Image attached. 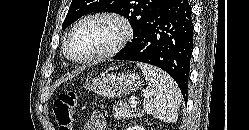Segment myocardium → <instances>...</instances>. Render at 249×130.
Returning a JSON list of instances; mask_svg holds the SVG:
<instances>
[{
	"mask_svg": "<svg viewBox=\"0 0 249 130\" xmlns=\"http://www.w3.org/2000/svg\"><path fill=\"white\" fill-rule=\"evenodd\" d=\"M97 19H103V20H109L112 22H115L116 24L119 25L120 27V36L117 39V41L107 50L96 53L94 55L85 57V58H75L70 54L69 51V44L71 41L72 36L76 32V30L82 26L83 24L92 21V20H97ZM133 35V29L128 21L127 18H125L122 15L115 14V13H109V12H95L88 14L84 17H82L80 20H78L74 26L70 29L65 42H64V55L66 56L67 59H69L72 62L79 63V64H86V63H92V62H97L100 60L107 59L109 57H112L116 55L120 50H122L125 45L130 41Z\"/></svg>",
	"mask_w": 249,
	"mask_h": 130,
	"instance_id": "myocardium-1",
	"label": "myocardium"
}]
</instances>
